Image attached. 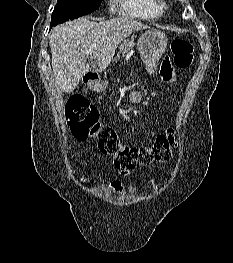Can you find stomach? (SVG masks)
<instances>
[{
  "mask_svg": "<svg viewBox=\"0 0 233 263\" xmlns=\"http://www.w3.org/2000/svg\"><path fill=\"white\" fill-rule=\"evenodd\" d=\"M137 46L144 60L146 70L152 73L157 61L167 48V37L160 30L149 29L141 35ZM90 87L95 91H101L104 89L105 84L102 82H93L90 83Z\"/></svg>",
  "mask_w": 233,
  "mask_h": 263,
  "instance_id": "obj_1",
  "label": "stomach"
}]
</instances>
